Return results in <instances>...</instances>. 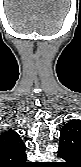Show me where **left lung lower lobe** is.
Masks as SVG:
<instances>
[{
  "label": "left lung lower lobe",
  "mask_w": 81,
  "mask_h": 167,
  "mask_svg": "<svg viewBox=\"0 0 81 167\" xmlns=\"http://www.w3.org/2000/svg\"><path fill=\"white\" fill-rule=\"evenodd\" d=\"M58 157L63 158L60 154H58ZM59 166H60V167H71V166L68 165L66 162H64V163H60Z\"/></svg>",
  "instance_id": "obj_1"
}]
</instances>
